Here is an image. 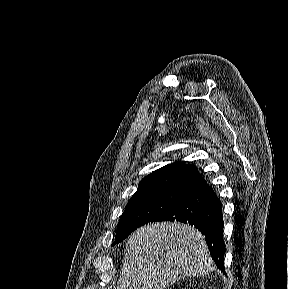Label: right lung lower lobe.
<instances>
[{
    "mask_svg": "<svg viewBox=\"0 0 288 289\" xmlns=\"http://www.w3.org/2000/svg\"><path fill=\"white\" fill-rule=\"evenodd\" d=\"M180 221L194 225L205 235L211 256L217 267L225 273L223 240V215L221 201L202 179L186 195L152 221Z\"/></svg>",
    "mask_w": 288,
    "mask_h": 289,
    "instance_id": "98d812e1",
    "label": "right lung lower lobe"
}]
</instances>
